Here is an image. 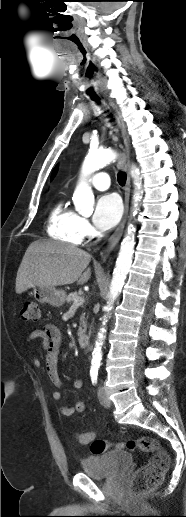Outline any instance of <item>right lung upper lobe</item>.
Wrapping results in <instances>:
<instances>
[{
	"instance_id": "1",
	"label": "right lung upper lobe",
	"mask_w": 186,
	"mask_h": 517,
	"mask_svg": "<svg viewBox=\"0 0 186 517\" xmlns=\"http://www.w3.org/2000/svg\"><path fill=\"white\" fill-rule=\"evenodd\" d=\"M55 174H56V168L53 170L51 178H53L55 176Z\"/></svg>"
}]
</instances>
